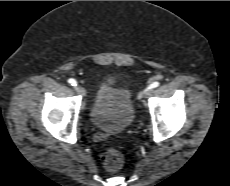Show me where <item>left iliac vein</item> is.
Wrapping results in <instances>:
<instances>
[{
	"label": "left iliac vein",
	"instance_id": "obj_1",
	"mask_svg": "<svg viewBox=\"0 0 230 186\" xmlns=\"http://www.w3.org/2000/svg\"><path fill=\"white\" fill-rule=\"evenodd\" d=\"M151 92H152V90L149 89V90H147L145 93H141L139 96H140V97H143V96L147 97V96H149V95L151 94Z\"/></svg>",
	"mask_w": 230,
	"mask_h": 186
}]
</instances>
